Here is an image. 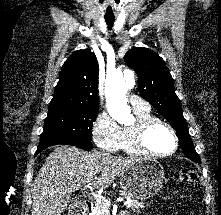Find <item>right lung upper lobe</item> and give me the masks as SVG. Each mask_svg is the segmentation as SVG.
I'll return each instance as SVG.
<instances>
[{
	"instance_id": "cb5924a9",
	"label": "right lung upper lobe",
	"mask_w": 221,
	"mask_h": 215,
	"mask_svg": "<svg viewBox=\"0 0 221 215\" xmlns=\"http://www.w3.org/2000/svg\"><path fill=\"white\" fill-rule=\"evenodd\" d=\"M98 110V62L90 50H77L63 64L48 113Z\"/></svg>"
}]
</instances>
